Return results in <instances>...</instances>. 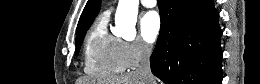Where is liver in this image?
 Returning a JSON list of instances; mask_svg holds the SVG:
<instances>
[{
    "mask_svg": "<svg viewBox=\"0 0 260 84\" xmlns=\"http://www.w3.org/2000/svg\"><path fill=\"white\" fill-rule=\"evenodd\" d=\"M84 82H87L86 84H146V82L134 72L104 79H86Z\"/></svg>",
    "mask_w": 260,
    "mask_h": 84,
    "instance_id": "liver-1",
    "label": "liver"
}]
</instances>
